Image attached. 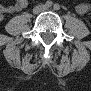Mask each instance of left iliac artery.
I'll return each mask as SVG.
<instances>
[{
  "label": "left iliac artery",
  "mask_w": 91,
  "mask_h": 91,
  "mask_svg": "<svg viewBox=\"0 0 91 91\" xmlns=\"http://www.w3.org/2000/svg\"><path fill=\"white\" fill-rule=\"evenodd\" d=\"M60 6L58 4L54 5V10H59Z\"/></svg>",
  "instance_id": "obj_1"
}]
</instances>
